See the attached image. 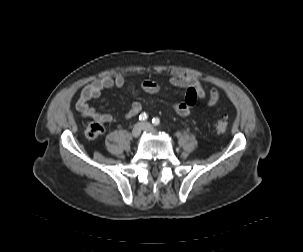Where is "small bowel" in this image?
Listing matches in <instances>:
<instances>
[{"mask_svg":"<svg viewBox=\"0 0 303 252\" xmlns=\"http://www.w3.org/2000/svg\"><path fill=\"white\" fill-rule=\"evenodd\" d=\"M169 81L174 87L186 90L185 100L173 104L174 112L181 117L189 116L197 101L205 99L206 94L204 89L195 78L176 73L170 75ZM124 84L125 79L121 75H117L116 77L104 76L91 81L78 94L76 103L77 111L81 116L91 118L100 123L111 122L113 120L111 114L98 112L89 104V101L99 97L104 90L112 88L120 89ZM141 88L148 93L154 94L160 91L161 86L154 80L146 79L141 83ZM219 100V92L216 89H212L208 95V105L214 107L218 104ZM142 109V103L140 101H134L126 112L125 119H132L137 116Z\"/></svg>","mask_w":303,"mask_h":252,"instance_id":"1","label":"small bowel"}]
</instances>
